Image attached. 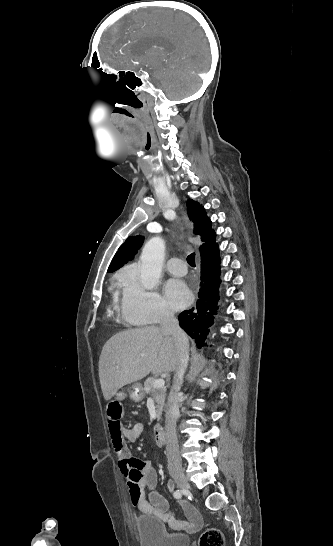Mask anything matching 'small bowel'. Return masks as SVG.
Instances as JSON below:
<instances>
[{
    "mask_svg": "<svg viewBox=\"0 0 333 546\" xmlns=\"http://www.w3.org/2000/svg\"><path fill=\"white\" fill-rule=\"evenodd\" d=\"M116 396L121 400L124 393L118 392ZM141 424L136 423L126 428L121 422L108 421V430L111 438L112 449L117 458L118 468L125 476L129 486L131 503L136 509L145 515H150L159 521L166 523L171 530L175 531H197L203 523L198 511L185 505L187 521L178 520L168 510L166 499L156 490L157 473L146 461L132 458L126 442L134 443L141 433Z\"/></svg>",
    "mask_w": 333,
    "mask_h": 546,
    "instance_id": "obj_1",
    "label": "small bowel"
}]
</instances>
